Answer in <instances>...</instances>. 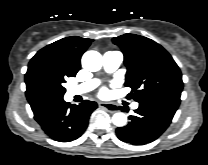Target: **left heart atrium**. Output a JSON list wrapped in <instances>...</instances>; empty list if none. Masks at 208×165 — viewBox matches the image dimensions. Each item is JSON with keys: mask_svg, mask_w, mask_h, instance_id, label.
Instances as JSON below:
<instances>
[{"mask_svg": "<svg viewBox=\"0 0 208 165\" xmlns=\"http://www.w3.org/2000/svg\"><path fill=\"white\" fill-rule=\"evenodd\" d=\"M105 93H106V90L103 89V90L101 91V94H105Z\"/></svg>", "mask_w": 208, "mask_h": 165, "instance_id": "left-heart-atrium-1", "label": "left heart atrium"}]
</instances>
